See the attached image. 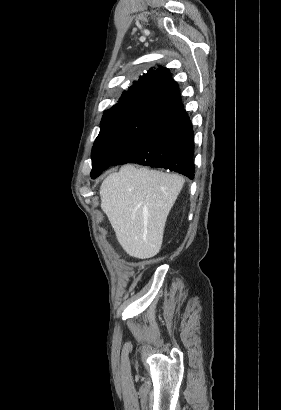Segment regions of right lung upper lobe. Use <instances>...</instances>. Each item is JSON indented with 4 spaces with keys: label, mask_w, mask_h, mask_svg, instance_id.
<instances>
[{
    "label": "right lung upper lobe",
    "mask_w": 281,
    "mask_h": 410,
    "mask_svg": "<svg viewBox=\"0 0 281 410\" xmlns=\"http://www.w3.org/2000/svg\"><path fill=\"white\" fill-rule=\"evenodd\" d=\"M178 84L171 78L169 69H150L141 75L127 91H124L117 104H145L170 110L180 103Z\"/></svg>",
    "instance_id": "1"
}]
</instances>
